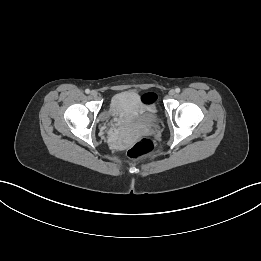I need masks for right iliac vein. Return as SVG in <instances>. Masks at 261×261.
Returning a JSON list of instances; mask_svg holds the SVG:
<instances>
[{"mask_svg":"<svg viewBox=\"0 0 261 261\" xmlns=\"http://www.w3.org/2000/svg\"><path fill=\"white\" fill-rule=\"evenodd\" d=\"M90 95L93 96V97H96V96L98 95V93H97V91L92 90V91L90 92Z\"/></svg>","mask_w":261,"mask_h":261,"instance_id":"obj_1","label":"right iliac vein"}]
</instances>
